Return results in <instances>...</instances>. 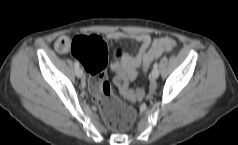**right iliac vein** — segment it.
Returning a JSON list of instances; mask_svg holds the SVG:
<instances>
[{
	"mask_svg": "<svg viewBox=\"0 0 238 145\" xmlns=\"http://www.w3.org/2000/svg\"><path fill=\"white\" fill-rule=\"evenodd\" d=\"M75 74L78 78H81L83 76V70L79 67L75 69Z\"/></svg>",
	"mask_w": 238,
	"mask_h": 145,
	"instance_id": "63e3f726",
	"label": "right iliac vein"
}]
</instances>
